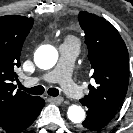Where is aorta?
<instances>
[{"label":"aorta","mask_w":133,"mask_h":133,"mask_svg":"<svg viewBox=\"0 0 133 133\" xmlns=\"http://www.w3.org/2000/svg\"><path fill=\"white\" fill-rule=\"evenodd\" d=\"M57 59L58 52L50 45L45 46L34 57L37 67L43 70L51 69L56 64ZM67 115L73 123H81L85 119V111L78 105H71L68 108Z\"/></svg>","instance_id":"obj_1"}]
</instances>
